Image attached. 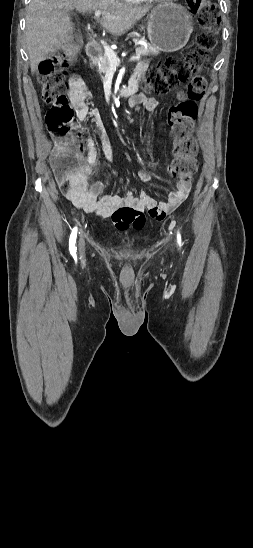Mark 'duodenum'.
Here are the masks:
<instances>
[{
  "mask_svg": "<svg viewBox=\"0 0 253 548\" xmlns=\"http://www.w3.org/2000/svg\"><path fill=\"white\" fill-rule=\"evenodd\" d=\"M87 55L90 59H97L100 55V48L95 43H90L87 46ZM138 83L136 80L131 81L128 86L119 90L121 96H133L137 91Z\"/></svg>",
  "mask_w": 253,
  "mask_h": 548,
  "instance_id": "410a0bca",
  "label": "duodenum"
}]
</instances>
